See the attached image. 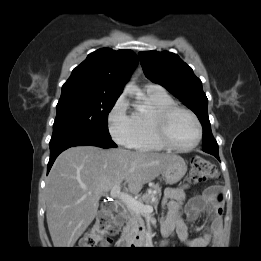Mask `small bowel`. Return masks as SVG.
Returning <instances> with one entry per match:
<instances>
[{
  "mask_svg": "<svg viewBox=\"0 0 261 261\" xmlns=\"http://www.w3.org/2000/svg\"><path fill=\"white\" fill-rule=\"evenodd\" d=\"M186 188L187 185H182L170 187L165 191L163 203L167 208V214L161 221V230L164 235H168L175 229L178 238L186 247L204 248L221 229L224 192L219 186H211L202 195H195L191 199L188 209L189 219L195 221L200 215H206L210 221V230L200 237L190 239L187 226L181 217V209L187 199Z\"/></svg>",
  "mask_w": 261,
  "mask_h": 261,
  "instance_id": "c3829d8e",
  "label": "small bowel"
}]
</instances>
